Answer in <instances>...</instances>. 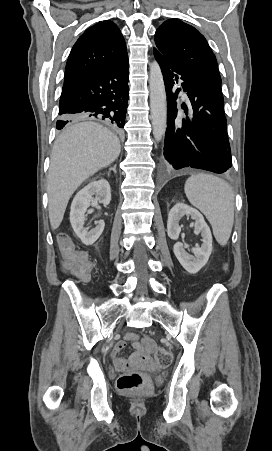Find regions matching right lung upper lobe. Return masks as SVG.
<instances>
[{
    "mask_svg": "<svg viewBox=\"0 0 272 451\" xmlns=\"http://www.w3.org/2000/svg\"><path fill=\"white\" fill-rule=\"evenodd\" d=\"M127 56L126 43L119 28L104 20L88 28L69 55L65 80L110 66Z\"/></svg>",
    "mask_w": 272,
    "mask_h": 451,
    "instance_id": "cb5924a9",
    "label": "right lung upper lobe"
}]
</instances>
